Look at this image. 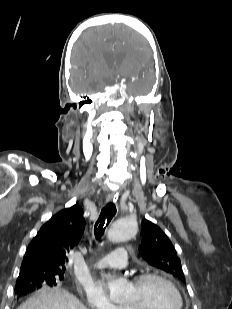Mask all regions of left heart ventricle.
Masks as SVG:
<instances>
[{
    "instance_id": "1",
    "label": "left heart ventricle",
    "mask_w": 232,
    "mask_h": 309,
    "mask_svg": "<svg viewBox=\"0 0 232 309\" xmlns=\"http://www.w3.org/2000/svg\"><path fill=\"white\" fill-rule=\"evenodd\" d=\"M122 304L140 307V309H176L178 299L166 283L151 279L140 286L131 283Z\"/></svg>"
}]
</instances>
